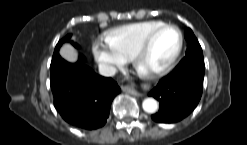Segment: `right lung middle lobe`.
Returning a JSON list of instances; mask_svg holds the SVG:
<instances>
[{
  "instance_id": "obj_1",
  "label": "right lung middle lobe",
  "mask_w": 247,
  "mask_h": 145,
  "mask_svg": "<svg viewBox=\"0 0 247 145\" xmlns=\"http://www.w3.org/2000/svg\"><path fill=\"white\" fill-rule=\"evenodd\" d=\"M71 38V35L69 34V35H67L63 40H60L59 42H58V44L56 45V48H55V51H54V54H53V57H56V56H58L59 55V48H60V46L62 45V43H64L65 41H68L69 39ZM72 44L77 48L78 47V45L77 44H75V43H73L72 42Z\"/></svg>"
}]
</instances>
